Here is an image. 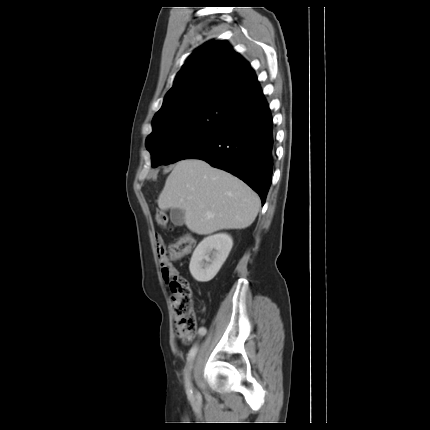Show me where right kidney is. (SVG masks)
Instances as JSON below:
<instances>
[{"label":"right kidney","mask_w":430,"mask_h":430,"mask_svg":"<svg viewBox=\"0 0 430 430\" xmlns=\"http://www.w3.org/2000/svg\"><path fill=\"white\" fill-rule=\"evenodd\" d=\"M232 246L231 236L225 233L204 238L191 257L189 270L192 277L197 282L212 280L227 259Z\"/></svg>","instance_id":"1"}]
</instances>
